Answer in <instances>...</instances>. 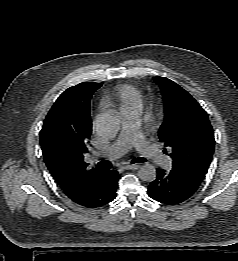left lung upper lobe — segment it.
Returning <instances> with one entry per match:
<instances>
[{
    "label": "left lung upper lobe",
    "instance_id": "left-lung-upper-lobe-1",
    "mask_svg": "<svg viewBox=\"0 0 238 261\" xmlns=\"http://www.w3.org/2000/svg\"><path fill=\"white\" fill-rule=\"evenodd\" d=\"M154 79L164 99L165 117L159 138L171 150L172 169L189 180L201 183L215 147L208 115L178 84L165 77Z\"/></svg>",
    "mask_w": 238,
    "mask_h": 261
}]
</instances>
